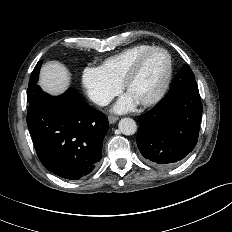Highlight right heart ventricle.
Listing matches in <instances>:
<instances>
[{
    "label": "right heart ventricle",
    "instance_id": "right-heart-ventricle-1",
    "mask_svg": "<svg viewBox=\"0 0 232 232\" xmlns=\"http://www.w3.org/2000/svg\"><path fill=\"white\" fill-rule=\"evenodd\" d=\"M151 47L153 46L148 44L134 45L105 59L100 67L114 81L122 84L123 78L135 58Z\"/></svg>",
    "mask_w": 232,
    "mask_h": 232
}]
</instances>
